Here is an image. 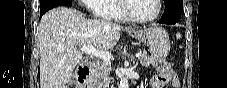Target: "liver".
<instances>
[{"mask_svg": "<svg viewBox=\"0 0 227 88\" xmlns=\"http://www.w3.org/2000/svg\"><path fill=\"white\" fill-rule=\"evenodd\" d=\"M123 27L103 20L85 19L73 8L48 11L39 23L40 86L64 88L82 60L78 48L112 49Z\"/></svg>", "mask_w": 227, "mask_h": 88, "instance_id": "liver-1", "label": "liver"}]
</instances>
